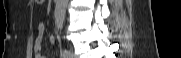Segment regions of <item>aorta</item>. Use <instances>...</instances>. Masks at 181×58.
<instances>
[{"mask_svg":"<svg viewBox=\"0 0 181 58\" xmlns=\"http://www.w3.org/2000/svg\"><path fill=\"white\" fill-rule=\"evenodd\" d=\"M55 2H56L54 10L55 26L58 30H61L63 28L65 20L68 0H56Z\"/></svg>","mask_w":181,"mask_h":58,"instance_id":"1","label":"aorta"}]
</instances>
